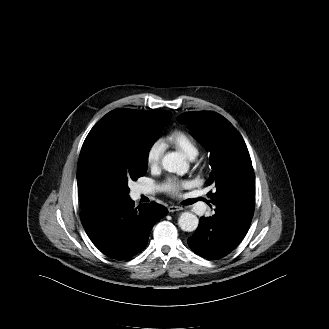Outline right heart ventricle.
Masks as SVG:
<instances>
[{
	"label": "right heart ventricle",
	"mask_w": 329,
	"mask_h": 329,
	"mask_svg": "<svg viewBox=\"0 0 329 329\" xmlns=\"http://www.w3.org/2000/svg\"><path fill=\"white\" fill-rule=\"evenodd\" d=\"M166 141L180 149L189 158H194L198 154L196 142L184 131L175 130L171 132Z\"/></svg>",
	"instance_id": "obj_1"
}]
</instances>
